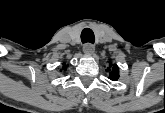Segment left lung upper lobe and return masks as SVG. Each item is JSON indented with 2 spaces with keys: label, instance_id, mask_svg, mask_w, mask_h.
<instances>
[{
  "label": "left lung upper lobe",
  "instance_id": "1",
  "mask_svg": "<svg viewBox=\"0 0 165 113\" xmlns=\"http://www.w3.org/2000/svg\"><path fill=\"white\" fill-rule=\"evenodd\" d=\"M112 66V64H110V67ZM109 69V68H108ZM109 77L111 80L116 81L119 78V71H118V66L117 65H113L112 67V71L109 74Z\"/></svg>",
  "mask_w": 165,
  "mask_h": 113
}]
</instances>
